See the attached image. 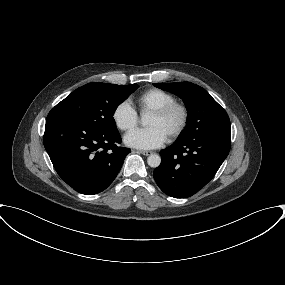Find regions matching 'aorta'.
<instances>
[{"label": "aorta", "mask_w": 285, "mask_h": 285, "mask_svg": "<svg viewBox=\"0 0 285 285\" xmlns=\"http://www.w3.org/2000/svg\"><path fill=\"white\" fill-rule=\"evenodd\" d=\"M147 163L150 167L156 168L161 163V157L158 154H150L147 158Z\"/></svg>", "instance_id": "aorta-1"}]
</instances>
